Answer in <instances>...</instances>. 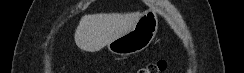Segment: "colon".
I'll return each instance as SVG.
<instances>
[{"label":"colon","instance_id":"colon-1","mask_svg":"<svg viewBox=\"0 0 244 73\" xmlns=\"http://www.w3.org/2000/svg\"><path fill=\"white\" fill-rule=\"evenodd\" d=\"M167 63L164 60L157 61L155 63H150L145 67L139 68L137 73H158L166 69Z\"/></svg>","mask_w":244,"mask_h":73}]
</instances>
